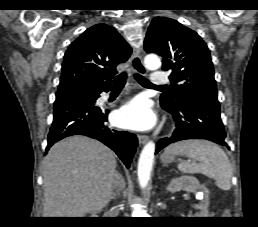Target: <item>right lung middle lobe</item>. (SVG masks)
<instances>
[{
    "mask_svg": "<svg viewBox=\"0 0 258 227\" xmlns=\"http://www.w3.org/2000/svg\"><path fill=\"white\" fill-rule=\"evenodd\" d=\"M78 89L74 88V89H69V90H65V91H60L56 93V99L62 98L63 96L69 95L71 93H75L77 92ZM90 98V97H89Z\"/></svg>",
    "mask_w": 258,
    "mask_h": 227,
    "instance_id": "right-lung-middle-lobe-1",
    "label": "right lung middle lobe"
}]
</instances>
